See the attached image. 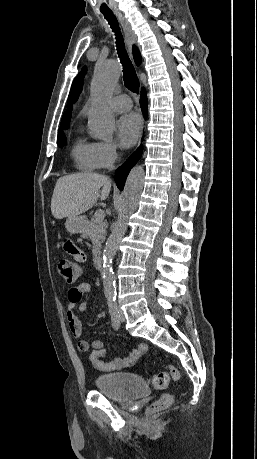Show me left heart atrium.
Segmentation results:
<instances>
[{"label":"left heart atrium","instance_id":"39dd6f15","mask_svg":"<svg viewBox=\"0 0 257 459\" xmlns=\"http://www.w3.org/2000/svg\"><path fill=\"white\" fill-rule=\"evenodd\" d=\"M118 138L124 147L132 146L141 132V119L135 113L123 115L118 121Z\"/></svg>","mask_w":257,"mask_h":459}]
</instances>
